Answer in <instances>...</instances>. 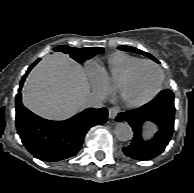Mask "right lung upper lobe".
Returning a JSON list of instances; mask_svg holds the SVG:
<instances>
[{"label":"right lung upper lobe","mask_w":194,"mask_h":193,"mask_svg":"<svg viewBox=\"0 0 194 193\" xmlns=\"http://www.w3.org/2000/svg\"><path fill=\"white\" fill-rule=\"evenodd\" d=\"M39 60L40 59H38L37 61H35L32 65L35 66Z\"/></svg>","instance_id":"cb5924a9"}]
</instances>
